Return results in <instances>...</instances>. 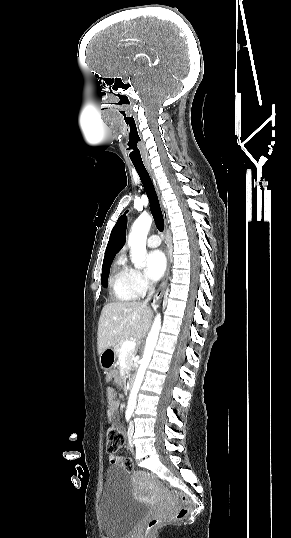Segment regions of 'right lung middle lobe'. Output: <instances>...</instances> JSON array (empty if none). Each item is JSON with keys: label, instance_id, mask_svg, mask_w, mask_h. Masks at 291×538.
Masks as SVG:
<instances>
[{"label": "right lung middle lobe", "instance_id": "1", "mask_svg": "<svg viewBox=\"0 0 291 538\" xmlns=\"http://www.w3.org/2000/svg\"><path fill=\"white\" fill-rule=\"evenodd\" d=\"M113 259H110L108 261L103 262L102 266V275H101V283L104 287H107V280L110 272V265Z\"/></svg>", "mask_w": 291, "mask_h": 538}]
</instances>
